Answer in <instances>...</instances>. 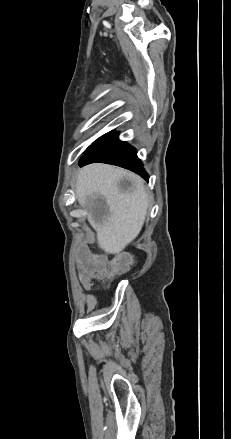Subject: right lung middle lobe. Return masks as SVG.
Returning <instances> with one entry per match:
<instances>
[{
  "label": "right lung middle lobe",
  "instance_id": "right-lung-middle-lobe-1",
  "mask_svg": "<svg viewBox=\"0 0 231 439\" xmlns=\"http://www.w3.org/2000/svg\"><path fill=\"white\" fill-rule=\"evenodd\" d=\"M112 134V132H109L103 136H101L100 138H98L95 142H93L85 151V153L87 151H89L90 149L94 148L95 146H97L99 143H101L103 140H105L107 137H109Z\"/></svg>",
  "mask_w": 231,
  "mask_h": 439
}]
</instances>
